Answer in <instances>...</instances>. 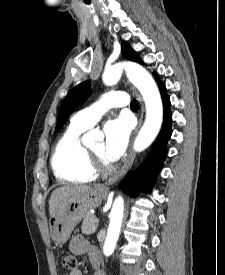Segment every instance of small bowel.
Returning <instances> with one entry per match:
<instances>
[{
  "label": "small bowel",
  "mask_w": 225,
  "mask_h": 275,
  "mask_svg": "<svg viewBox=\"0 0 225 275\" xmlns=\"http://www.w3.org/2000/svg\"><path fill=\"white\" fill-rule=\"evenodd\" d=\"M70 251L76 255L88 254L89 258L92 260L98 259L97 249L91 246L88 241H86L82 236L77 235L72 238L70 242ZM64 275H82L80 270L72 271ZM94 275H105L102 271H96Z\"/></svg>",
  "instance_id": "1"
}]
</instances>
